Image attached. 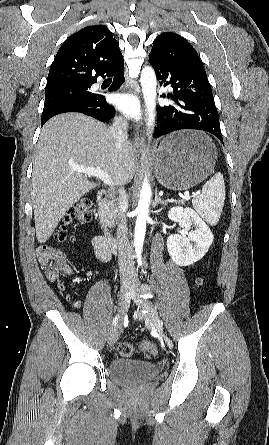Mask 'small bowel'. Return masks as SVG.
<instances>
[{"instance_id": "small-bowel-1", "label": "small bowel", "mask_w": 269, "mask_h": 445, "mask_svg": "<svg viewBox=\"0 0 269 445\" xmlns=\"http://www.w3.org/2000/svg\"><path fill=\"white\" fill-rule=\"evenodd\" d=\"M93 247L95 250L96 257L101 262H107L110 260L111 253L107 248L105 240L101 236H96L93 238ZM75 308H80V303L78 301L73 302Z\"/></svg>"}]
</instances>
